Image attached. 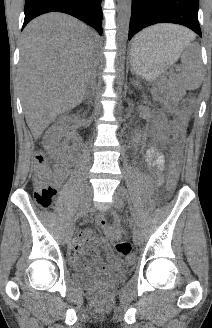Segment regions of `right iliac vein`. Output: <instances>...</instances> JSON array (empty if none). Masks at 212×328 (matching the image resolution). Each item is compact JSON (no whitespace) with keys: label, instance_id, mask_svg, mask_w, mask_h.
I'll list each match as a JSON object with an SVG mask.
<instances>
[{"label":"right iliac vein","instance_id":"right-iliac-vein-1","mask_svg":"<svg viewBox=\"0 0 212 328\" xmlns=\"http://www.w3.org/2000/svg\"><path fill=\"white\" fill-rule=\"evenodd\" d=\"M91 197H92V188L90 186H88L85 191L84 194L82 196L81 202L79 204V212H84L86 210V208L89 206L90 201H91ZM73 231H74V224L72 223L67 231L66 234V241L69 242L71 240V237L73 235Z\"/></svg>","mask_w":212,"mask_h":328}]
</instances>
